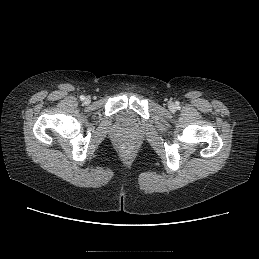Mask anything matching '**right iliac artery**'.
I'll list each match as a JSON object with an SVG mask.
<instances>
[{
  "label": "right iliac artery",
  "mask_w": 259,
  "mask_h": 259,
  "mask_svg": "<svg viewBox=\"0 0 259 259\" xmlns=\"http://www.w3.org/2000/svg\"><path fill=\"white\" fill-rule=\"evenodd\" d=\"M80 99L83 101V100H85V96H80Z\"/></svg>",
  "instance_id": "82829eb1"
}]
</instances>
